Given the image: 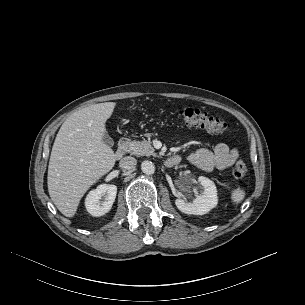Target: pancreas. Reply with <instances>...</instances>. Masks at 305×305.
<instances>
[{"label": "pancreas", "mask_w": 305, "mask_h": 305, "mask_svg": "<svg viewBox=\"0 0 305 305\" xmlns=\"http://www.w3.org/2000/svg\"><path fill=\"white\" fill-rule=\"evenodd\" d=\"M128 152L131 155H135L137 157L140 156H155L154 148L151 145L150 141H131L128 144Z\"/></svg>", "instance_id": "obj_1"}]
</instances>
